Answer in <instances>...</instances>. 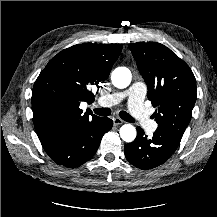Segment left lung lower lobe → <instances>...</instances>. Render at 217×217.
<instances>
[{
	"label": "left lung lower lobe",
	"instance_id": "0a47b994",
	"mask_svg": "<svg viewBox=\"0 0 217 217\" xmlns=\"http://www.w3.org/2000/svg\"><path fill=\"white\" fill-rule=\"evenodd\" d=\"M181 137L157 128L152 138L137 127L136 139L124 146L126 159L140 169H151L163 164L177 149Z\"/></svg>",
	"mask_w": 217,
	"mask_h": 217
}]
</instances>
